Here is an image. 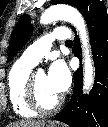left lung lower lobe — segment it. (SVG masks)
Here are the masks:
<instances>
[{
  "label": "left lung lower lobe",
  "instance_id": "1",
  "mask_svg": "<svg viewBox=\"0 0 108 127\" xmlns=\"http://www.w3.org/2000/svg\"><path fill=\"white\" fill-rule=\"evenodd\" d=\"M90 33L95 64V83L89 95H83L80 67L74 74V90L69 103L56 119L71 127H108V14L100 0H83L79 6ZM75 31V29L73 28ZM76 32V31H75ZM74 53L81 58L79 41Z\"/></svg>",
  "mask_w": 108,
  "mask_h": 127
}]
</instances>
